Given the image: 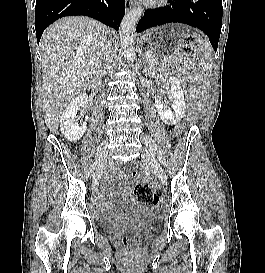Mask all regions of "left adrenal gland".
<instances>
[{
    "label": "left adrenal gland",
    "instance_id": "left-adrenal-gland-1",
    "mask_svg": "<svg viewBox=\"0 0 265 273\" xmlns=\"http://www.w3.org/2000/svg\"><path fill=\"white\" fill-rule=\"evenodd\" d=\"M142 59L144 60V62H145V64H146V62H147V61L145 60V57H144V55H142Z\"/></svg>",
    "mask_w": 265,
    "mask_h": 273
}]
</instances>
